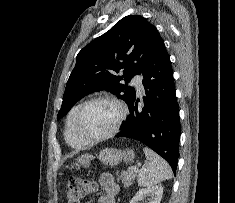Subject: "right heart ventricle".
<instances>
[{"mask_svg":"<svg viewBox=\"0 0 235 203\" xmlns=\"http://www.w3.org/2000/svg\"><path fill=\"white\" fill-rule=\"evenodd\" d=\"M80 104L74 106L70 112L68 113L67 119H66V126L64 131V137L68 145H70L73 148H81L85 145L84 142H82L74 133L73 131V117L74 114L79 107Z\"/></svg>","mask_w":235,"mask_h":203,"instance_id":"e07e8e85","label":"right heart ventricle"}]
</instances>
